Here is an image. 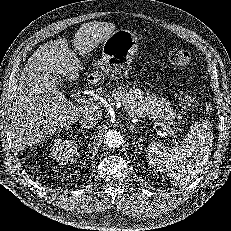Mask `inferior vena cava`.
Returning <instances> with one entry per match:
<instances>
[{
	"instance_id": "1",
	"label": "inferior vena cava",
	"mask_w": 231,
	"mask_h": 231,
	"mask_svg": "<svg viewBox=\"0 0 231 231\" xmlns=\"http://www.w3.org/2000/svg\"><path fill=\"white\" fill-rule=\"evenodd\" d=\"M98 121L99 119L93 113L87 112L81 117L79 122L81 123L83 128L89 129L94 128L98 124Z\"/></svg>"
}]
</instances>
